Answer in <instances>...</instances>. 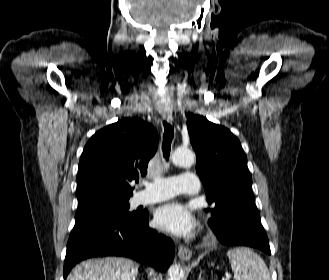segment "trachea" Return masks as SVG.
Here are the masks:
<instances>
[{
	"instance_id": "obj_1",
	"label": "trachea",
	"mask_w": 329,
	"mask_h": 280,
	"mask_svg": "<svg viewBox=\"0 0 329 280\" xmlns=\"http://www.w3.org/2000/svg\"><path fill=\"white\" fill-rule=\"evenodd\" d=\"M163 126H164V134H163V142H162V151L164 158L168 160L170 156L171 143L174 137V129L166 121H163Z\"/></svg>"
}]
</instances>
